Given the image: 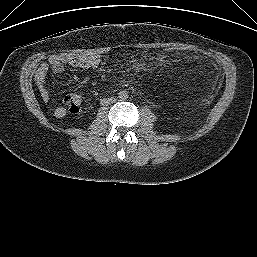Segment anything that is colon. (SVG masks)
Instances as JSON below:
<instances>
[{"mask_svg":"<svg viewBox=\"0 0 257 257\" xmlns=\"http://www.w3.org/2000/svg\"><path fill=\"white\" fill-rule=\"evenodd\" d=\"M163 51L167 54H171L176 52V49L173 47H166ZM56 104L59 108H64L71 113H76L81 106V97L78 94H67L62 98L57 99Z\"/></svg>","mask_w":257,"mask_h":257,"instance_id":"1","label":"colon"}]
</instances>
